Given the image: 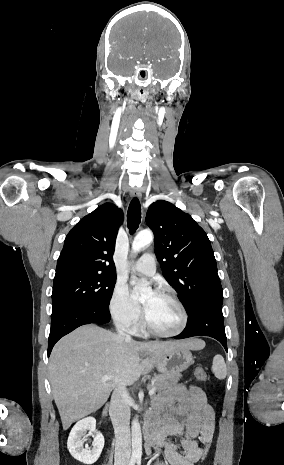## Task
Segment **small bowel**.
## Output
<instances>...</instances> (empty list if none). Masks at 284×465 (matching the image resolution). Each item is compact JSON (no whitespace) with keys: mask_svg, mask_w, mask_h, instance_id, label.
<instances>
[{"mask_svg":"<svg viewBox=\"0 0 284 465\" xmlns=\"http://www.w3.org/2000/svg\"><path fill=\"white\" fill-rule=\"evenodd\" d=\"M145 430L148 454H162L169 465H194L203 455L202 441H212L215 414L200 387L179 384L160 396Z\"/></svg>","mask_w":284,"mask_h":465,"instance_id":"1","label":"small bowel"}]
</instances>
